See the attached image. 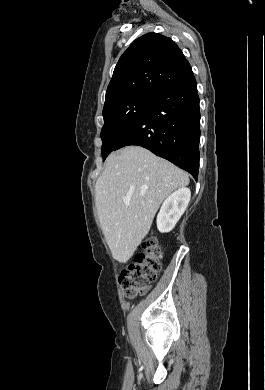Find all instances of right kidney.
<instances>
[{
  "label": "right kidney",
  "instance_id": "1",
  "mask_svg": "<svg viewBox=\"0 0 265 390\" xmlns=\"http://www.w3.org/2000/svg\"><path fill=\"white\" fill-rule=\"evenodd\" d=\"M190 197V189L182 187L164 200L157 215V228L161 233H168L175 227L186 210Z\"/></svg>",
  "mask_w": 265,
  "mask_h": 390
}]
</instances>
